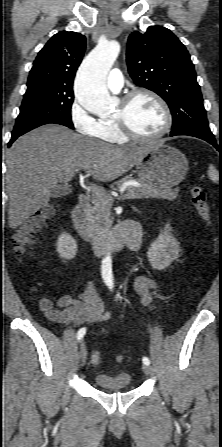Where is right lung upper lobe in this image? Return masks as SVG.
<instances>
[{"label":"right lung upper lobe","instance_id":"obj_1","mask_svg":"<svg viewBox=\"0 0 222 447\" xmlns=\"http://www.w3.org/2000/svg\"><path fill=\"white\" fill-rule=\"evenodd\" d=\"M86 47L84 35L61 31L38 53L27 81L28 88L45 85L73 92V80Z\"/></svg>","mask_w":222,"mask_h":447}]
</instances>
